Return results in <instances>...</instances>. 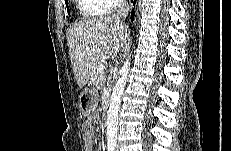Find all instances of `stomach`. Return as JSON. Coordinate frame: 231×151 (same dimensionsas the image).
Returning a JSON list of instances; mask_svg holds the SVG:
<instances>
[{
  "instance_id": "stomach-1",
  "label": "stomach",
  "mask_w": 231,
  "mask_h": 151,
  "mask_svg": "<svg viewBox=\"0 0 231 151\" xmlns=\"http://www.w3.org/2000/svg\"><path fill=\"white\" fill-rule=\"evenodd\" d=\"M97 92L92 87L85 88L79 96V108L83 114H90L97 104Z\"/></svg>"
}]
</instances>
